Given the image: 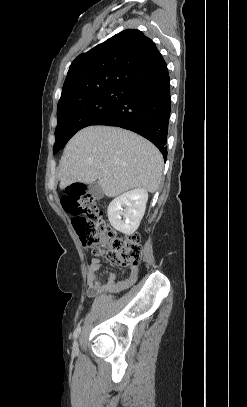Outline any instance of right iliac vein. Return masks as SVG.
<instances>
[{
	"instance_id": "right-iliac-vein-1",
	"label": "right iliac vein",
	"mask_w": 247,
	"mask_h": 407,
	"mask_svg": "<svg viewBox=\"0 0 247 407\" xmlns=\"http://www.w3.org/2000/svg\"><path fill=\"white\" fill-rule=\"evenodd\" d=\"M78 351H79V344H78V341L76 340V341L74 342V344H73L72 352H73L74 354H77Z\"/></svg>"
}]
</instances>
